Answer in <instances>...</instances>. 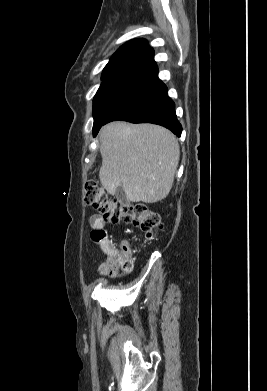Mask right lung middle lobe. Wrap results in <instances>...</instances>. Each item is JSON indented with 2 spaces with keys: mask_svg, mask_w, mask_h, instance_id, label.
<instances>
[{
  "mask_svg": "<svg viewBox=\"0 0 267 391\" xmlns=\"http://www.w3.org/2000/svg\"><path fill=\"white\" fill-rule=\"evenodd\" d=\"M102 80L103 82L94 97L93 134L116 108L149 84L153 78L137 75H116L102 78Z\"/></svg>",
  "mask_w": 267,
  "mask_h": 391,
  "instance_id": "obj_1",
  "label": "right lung middle lobe"
}]
</instances>
